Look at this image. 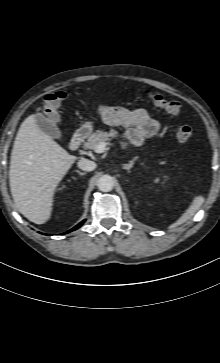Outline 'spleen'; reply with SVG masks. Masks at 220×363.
Listing matches in <instances>:
<instances>
[{"mask_svg":"<svg viewBox=\"0 0 220 363\" xmlns=\"http://www.w3.org/2000/svg\"><path fill=\"white\" fill-rule=\"evenodd\" d=\"M204 197L203 196H196L191 204V206L186 210V212L170 227L175 228L183 223H185L187 220H189L201 207V205L204 203Z\"/></svg>","mask_w":220,"mask_h":363,"instance_id":"1","label":"spleen"}]
</instances>
